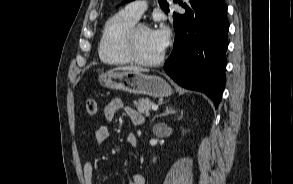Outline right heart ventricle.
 Listing matches in <instances>:
<instances>
[{"instance_id":"e07e8e85","label":"right heart ventricle","mask_w":293,"mask_h":184,"mask_svg":"<svg viewBox=\"0 0 293 184\" xmlns=\"http://www.w3.org/2000/svg\"><path fill=\"white\" fill-rule=\"evenodd\" d=\"M136 19L120 11L106 22L98 45L101 61L109 65H125L131 60L124 48L125 36Z\"/></svg>"}]
</instances>
